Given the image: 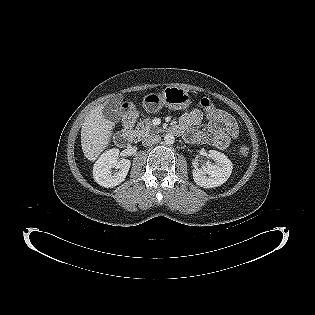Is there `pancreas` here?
Returning <instances> with one entry per match:
<instances>
[{
    "label": "pancreas",
    "instance_id": "1",
    "mask_svg": "<svg viewBox=\"0 0 315 315\" xmlns=\"http://www.w3.org/2000/svg\"><path fill=\"white\" fill-rule=\"evenodd\" d=\"M154 130H158L152 123L151 120L145 119L140 121L136 128L131 131V137L142 139L150 134V132Z\"/></svg>",
    "mask_w": 315,
    "mask_h": 315
}]
</instances>
